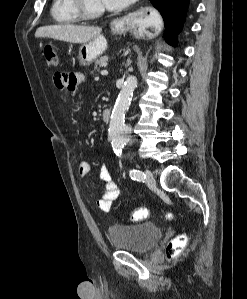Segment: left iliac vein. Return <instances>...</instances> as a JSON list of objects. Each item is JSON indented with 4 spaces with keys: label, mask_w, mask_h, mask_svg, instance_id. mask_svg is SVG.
I'll use <instances>...</instances> for the list:
<instances>
[{
    "label": "left iliac vein",
    "mask_w": 247,
    "mask_h": 299,
    "mask_svg": "<svg viewBox=\"0 0 247 299\" xmlns=\"http://www.w3.org/2000/svg\"><path fill=\"white\" fill-rule=\"evenodd\" d=\"M145 175H146V179H145L146 185L151 188L155 187L156 181H155V178H154L152 172L150 170H146Z\"/></svg>",
    "instance_id": "left-iliac-vein-1"
}]
</instances>
